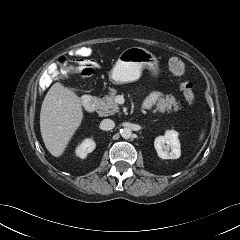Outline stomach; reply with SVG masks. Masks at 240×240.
Returning a JSON list of instances; mask_svg holds the SVG:
<instances>
[{
	"label": "stomach",
	"instance_id": "0dacf381",
	"mask_svg": "<svg viewBox=\"0 0 240 240\" xmlns=\"http://www.w3.org/2000/svg\"><path fill=\"white\" fill-rule=\"evenodd\" d=\"M144 69L157 77L160 72L158 59L144 48L130 47L120 54L109 77L114 84L130 83L138 80Z\"/></svg>",
	"mask_w": 240,
	"mask_h": 240
}]
</instances>
